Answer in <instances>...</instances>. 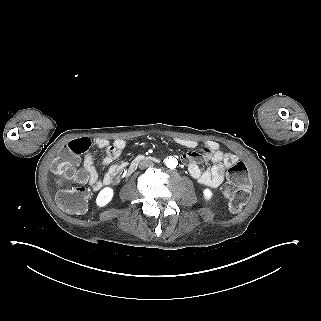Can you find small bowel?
Returning <instances> with one entry per match:
<instances>
[{
    "mask_svg": "<svg viewBox=\"0 0 321 321\" xmlns=\"http://www.w3.org/2000/svg\"><path fill=\"white\" fill-rule=\"evenodd\" d=\"M174 142L182 145L190 151L181 155V160L188 166L189 174L198 183L217 187L223 179L225 171L232 164L236 163L238 158L236 155L224 152L220 149L219 144L214 141H207L204 143L200 152L194 150L197 147V142L192 139L174 138ZM93 144L105 151V157L102 161L104 173L99 177L94 164L93 155L89 152L84 158V169L88 174V183L93 190L98 191L102 187L117 182L127 168V163H113L125 150L127 144L123 139H115L112 142L105 138H96ZM207 160L212 163L208 169H202L198 162Z\"/></svg>",
    "mask_w": 321,
    "mask_h": 321,
    "instance_id": "c3829d8e",
    "label": "small bowel"
}]
</instances>
